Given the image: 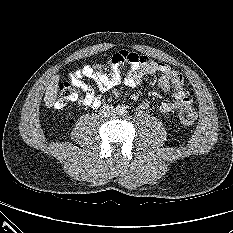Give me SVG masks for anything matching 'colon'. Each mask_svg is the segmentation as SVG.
<instances>
[{"mask_svg":"<svg viewBox=\"0 0 233 233\" xmlns=\"http://www.w3.org/2000/svg\"><path fill=\"white\" fill-rule=\"evenodd\" d=\"M99 70L107 73H114L115 69L112 65L107 63L101 64L98 67ZM79 97V93L67 82H63L59 85L58 95L56 100V107H64ZM197 118V112L190 104L184 105L179 113V119L183 124H192Z\"/></svg>","mask_w":233,"mask_h":233,"instance_id":"obj_1","label":"colon"}]
</instances>
